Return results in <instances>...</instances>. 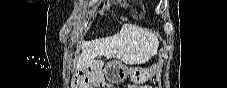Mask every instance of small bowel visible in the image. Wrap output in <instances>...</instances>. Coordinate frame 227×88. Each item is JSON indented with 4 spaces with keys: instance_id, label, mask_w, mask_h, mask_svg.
Returning a JSON list of instances; mask_svg holds the SVG:
<instances>
[{
    "instance_id": "small-bowel-1",
    "label": "small bowel",
    "mask_w": 227,
    "mask_h": 88,
    "mask_svg": "<svg viewBox=\"0 0 227 88\" xmlns=\"http://www.w3.org/2000/svg\"><path fill=\"white\" fill-rule=\"evenodd\" d=\"M94 68H95L96 70H98V69H99V66H94Z\"/></svg>"
}]
</instances>
